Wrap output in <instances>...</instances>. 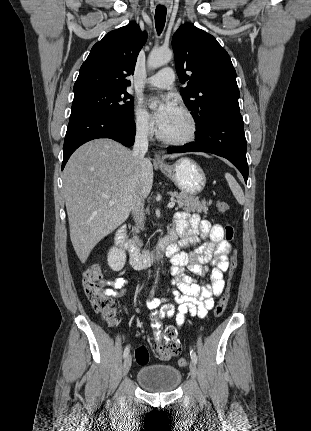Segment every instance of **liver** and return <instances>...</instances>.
<instances>
[{
  "instance_id": "1",
  "label": "liver",
  "mask_w": 311,
  "mask_h": 431,
  "mask_svg": "<svg viewBox=\"0 0 311 431\" xmlns=\"http://www.w3.org/2000/svg\"><path fill=\"white\" fill-rule=\"evenodd\" d=\"M63 174L70 237L85 263L96 243L130 216L138 190L143 200L148 198L153 166L148 158L138 164L128 148L113 140H92L72 154Z\"/></svg>"
}]
</instances>
